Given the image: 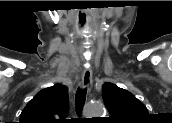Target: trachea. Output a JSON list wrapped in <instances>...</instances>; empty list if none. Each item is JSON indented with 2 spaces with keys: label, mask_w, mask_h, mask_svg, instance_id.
<instances>
[{
  "label": "trachea",
  "mask_w": 172,
  "mask_h": 123,
  "mask_svg": "<svg viewBox=\"0 0 172 123\" xmlns=\"http://www.w3.org/2000/svg\"><path fill=\"white\" fill-rule=\"evenodd\" d=\"M86 91H87V88H85L83 90L78 89L77 92H76V95H75V107H76V112L78 114L81 113L82 108H83V106L85 104Z\"/></svg>",
  "instance_id": "3493384b"
}]
</instances>
